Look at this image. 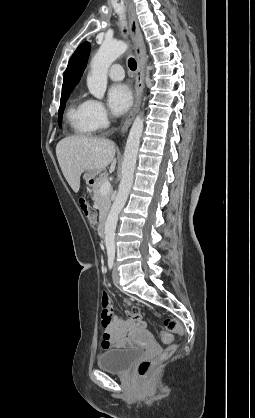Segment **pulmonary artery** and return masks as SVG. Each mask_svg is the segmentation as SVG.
Returning a JSON list of instances; mask_svg holds the SVG:
<instances>
[{
    "instance_id": "e3ab8cb5",
    "label": "pulmonary artery",
    "mask_w": 255,
    "mask_h": 418,
    "mask_svg": "<svg viewBox=\"0 0 255 418\" xmlns=\"http://www.w3.org/2000/svg\"><path fill=\"white\" fill-rule=\"evenodd\" d=\"M108 75L112 80L120 81L124 78V70L121 65L114 64L110 67Z\"/></svg>"
}]
</instances>
